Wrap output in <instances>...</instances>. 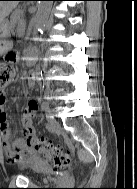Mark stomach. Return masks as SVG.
<instances>
[{
	"label": "stomach",
	"mask_w": 137,
	"mask_h": 189,
	"mask_svg": "<svg viewBox=\"0 0 137 189\" xmlns=\"http://www.w3.org/2000/svg\"><path fill=\"white\" fill-rule=\"evenodd\" d=\"M8 31V22L4 21L3 27L0 28V54L4 53L10 46V42L6 40V37L8 36Z\"/></svg>",
	"instance_id": "obj_1"
}]
</instances>
